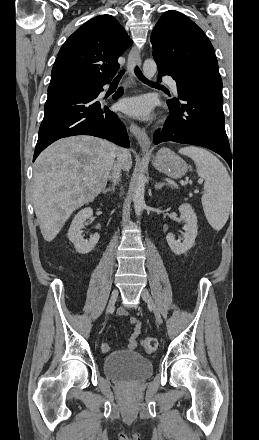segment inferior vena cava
I'll return each instance as SVG.
<instances>
[{
    "label": "inferior vena cava",
    "mask_w": 259,
    "mask_h": 440,
    "mask_svg": "<svg viewBox=\"0 0 259 440\" xmlns=\"http://www.w3.org/2000/svg\"><path fill=\"white\" fill-rule=\"evenodd\" d=\"M121 169H122L121 163H120L119 159L117 158L116 163L112 167V173H111V178H112L114 184L118 183V181L120 180Z\"/></svg>",
    "instance_id": "1"
}]
</instances>
